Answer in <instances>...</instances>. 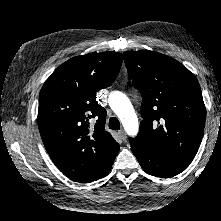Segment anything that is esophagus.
Returning a JSON list of instances; mask_svg holds the SVG:
<instances>
[{
    "instance_id": "obj_1",
    "label": "esophagus",
    "mask_w": 221,
    "mask_h": 221,
    "mask_svg": "<svg viewBox=\"0 0 221 221\" xmlns=\"http://www.w3.org/2000/svg\"><path fill=\"white\" fill-rule=\"evenodd\" d=\"M119 134V137L122 139V140H125L127 138V135H126V132L124 130H120L118 132Z\"/></svg>"
}]
</instances>
